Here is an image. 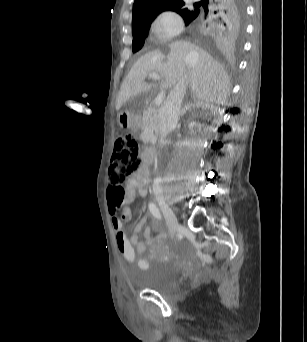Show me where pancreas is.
I'll list each match as a JSON object with an SVG mask.
<instances>
[{"instance_id":"obj_1","label":"pancreas","mask_w":307,"mask_h":342,"mask_svg":"<svg viewBox=\"0 0 307 342\" xmlns=\"http://www.w3.org/2000/svg\"><path fill=\"white\" fill-rule=\"evenodd\" d=\"M153 114L154 112H149L148 116H144L143 128L146 126V122H149V124H154L155 116H153Z\"/></svg>"}]
</instances>
